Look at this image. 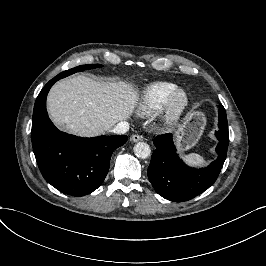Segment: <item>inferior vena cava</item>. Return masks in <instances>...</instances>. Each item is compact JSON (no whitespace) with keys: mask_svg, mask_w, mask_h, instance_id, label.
Here are the masks:
<instances>
[{"mask_svg":"<svg viewBox=\"0 0 266 266\" xmlns=\"http://www.w3.org/2000/svg\"><path fill=\"white\" fill-rule=\"evenodd\" d=\"M129 130V123L126 121H121L117 123L115 126H113L109 132L115 133V134H125Z\"/></svg>","mask_w":266,"mask_h":266,"instance_id":"inferior-vena-cava-1","label":"inferior vena cava"}]
</instances>
